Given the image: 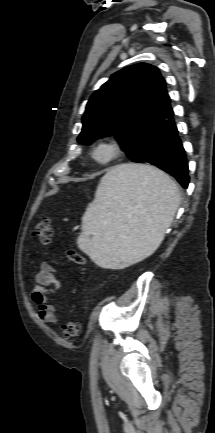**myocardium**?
<instances>
[{
    "label": "myocardium",
    "mask_w": 215,
    "mask_h": 433,
    "mask_svg": "<svg viewBox=\"0 0 215 433\" xmlns=\"http://www.w3.org/2000/svg\"><path fill=\"white\" fill-rule=\"evenodd\" d=\"M122 153L121 143L116 138L106 137L99 139L92 145L89 157L97 165H108L116 161Z\"/></svg>",
    "instance_id": "obj_1"
}]
</instances>
